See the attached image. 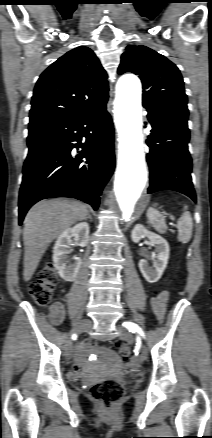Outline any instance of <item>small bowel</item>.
<instances>
[{
  "mask_svg": "<svg viewBox=\"0 0 212 438\" xmlns=\"http://www.w3.org/2000/svg\"><path fill=\"white\" fill-rule=\"evenodd\" d=\"M168 300H169V293L166 291L161 292L157 296H153L151 298V306L159 321H162L164 319L167 310ZM64 316H65L64 306L59 302L52 304L49 312V319L51 323L54 325L61 323ZM86 349H87V345L82 346L80 349V356H79L80 362L84 360Z\"/></svg>",
  "mask_w": 212,
  "mask_h": 438,
  "instance_id": "small-bowel-1",
  "label": "small bowel"
}]
</instances>
